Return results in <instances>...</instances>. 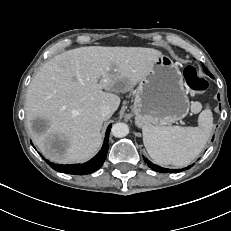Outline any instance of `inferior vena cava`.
I'll return each mask as SVG.
<instances>
[{"label":"inferior vena cava","instance_id":"1","mask_svg":"<svg viewBox=\"0 0 231 231\" xmlns=\"http://www.w3.org/2000/svg\"><path fill=\"white\" fill-rule=\"evenodd\" d=\"M100 113H101V115L103 116V118H105V119L110 118L111 115L113 114V112H112L110 106H108V105H103V106H101V107H100Z\"/></svg>","mask_w":231,"mask_h":231}]
</instances>
